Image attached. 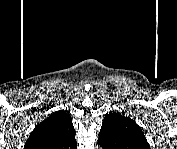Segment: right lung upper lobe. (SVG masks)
Wrapping results in <instances>:
<instances>
[{
    "label": "right lung upper lobe",
    "mask_w": 177,
    "mask_h": 149,
    "mask_svg": "<svg viewBox=\"0 0 177 149\" xmlns=\"http://www.w3.org/2000/svg\"><path fill=\"white\" fill-rule=\"evenodd\" d=\"M25 148L76 149L72 118L65 111L53 113L35 127Z\"/></svg>",
    "instance_id": "right-lung-upper-lobe-1"
}]
</instances>
